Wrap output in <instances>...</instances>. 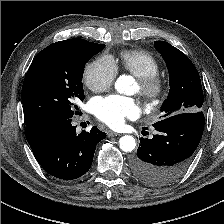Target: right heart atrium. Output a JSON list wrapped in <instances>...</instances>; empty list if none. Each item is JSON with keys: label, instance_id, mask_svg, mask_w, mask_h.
Returning a JSON list of instances; mask_svg holds the SVG:
<instances>
[{"label": "right heart atrium", "instance_id": "right-heart-atrium-1", "mask_svg": "<svg viewBox=\"0 0 224 224\" xmlns=\"http://www.w3.org/2000/svg\"><path fill=\"white\" fill-rule=\"evenodd\" d=\"M117 76V67L113 59L99 57L85 67L83 80L93 92H103L110 88Z\"/></svg>", "mask_w": 224, "mask_h": 224}]
</instances>
